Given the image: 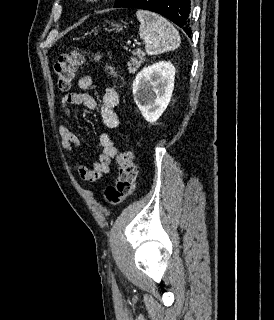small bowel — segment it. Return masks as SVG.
Returning a JSON list of instances; mask_svg holds the SVG:
<instances>
[{"label":"small bowel","instance_id":"c3829d8e","mask_svg":"<svg viewBox=\"0 0 274 320\" xmlns=\"http://www.w3.org/2000/svg\"><path fill=\"white\" fill-rule=\"evenodd\" d=\"M91 85L92 78L87 74L81 75L77 81L79 91L68 93L62 97V111L67 118H70L72 114L71 105L83 104L89 110H94L96 108L94 98L87 92ZM118 103V92L112 87H107L101 98L99 112L103 124L109 129H114L119 125V115L116 112ZM58 130L62 147L66 150L69 156H73L75 148L80 145L78 136L63 124L59 126ZM99 144L102 148V152L91 169L77 161L71 160L69 162V165L74 168L87 182H96L108 175L111 172L112 160L119 153V149L115 142L107 133L99 135Z\"/></svg>","mask_w":274,"mask_h":320}]
</instances>
